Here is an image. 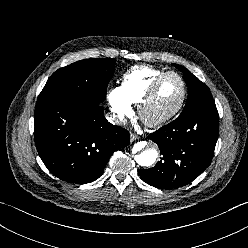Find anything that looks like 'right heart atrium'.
Masks as SVG:
<instances>
[{
    "label": "right heart atrium",
    "instance_id": "d8ad5b80",
    "mask_svg": "<svg viewBox=\"0 0 248 248\" xmlns=\"http://www.w3.org/2000/svg\"><path fill=\"white\" fill-rule=\"evenodd\" d=\"M110 108L118 121H124L132 115V105L125 97L121 87H114L108 93Z\"/></svg>",
    "mask_w": 248,
    "mask_h": 248
}]
</instances>
